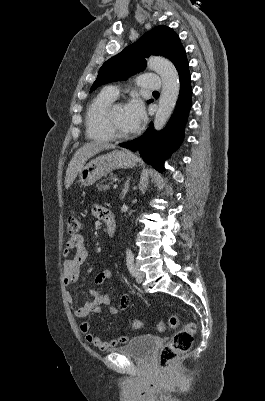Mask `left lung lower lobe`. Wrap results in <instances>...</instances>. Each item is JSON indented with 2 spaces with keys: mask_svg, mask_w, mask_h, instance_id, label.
<instances>
[{
  "mask_svg": "<svg viewBox=\"0 0 265 401\" xmlns=\"http://www.w3.org/2000/svg\"><path fill=\"white\" fill-rule=\"evenodd\" d=\"M180 79V92L175 112L162 132H156L152 123L149 129L139 138L120 146L140 150L143 160L157 170H164V161L180 145L184 137V128L191 108L192 89L188 61L185 58L176 68Z\"/></svg>",
  "mask_w": 265,
  "mask_h": 401,
  "instance_id": "left-lung-lower-lobe-1",
  "label": "left lung lower lobe"
}]
</instances>
